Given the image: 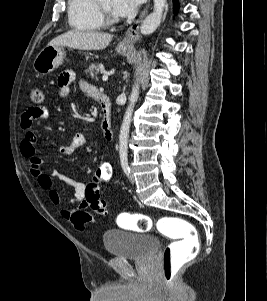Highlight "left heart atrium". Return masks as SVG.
Wrapping results in <instances>:
<instances>
[{"label": "left heart atrium", "instance_id": "39dd6f15", "mask_svg": "<svg viewBox=\"0 0 267 301\" xmlns=\"http://www.w3.org/2000/svg\"><path fill=\"white\" fill-rule=\"evenodd\" d=\"M141 0H112V13L116 17H131L139 6Z\"/></svg>", "mask_w": 267, "mask_h": 301}]
</instances>
